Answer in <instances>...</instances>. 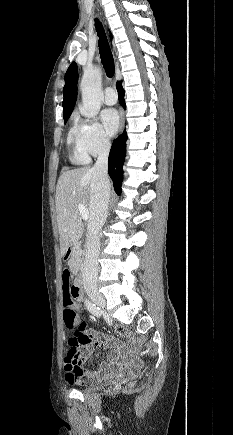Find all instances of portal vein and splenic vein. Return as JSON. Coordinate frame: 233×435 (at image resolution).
I'll use <instances>...</instances> for the list:
<instances>
[{"label":"portal vein and splenic vein","mask_w":233,"mask_h":435,"mask_svg":"<svg viewBox=\"0 0 233 435\" xmlns=\"http://www.w3.org/2000/svg\"><path fill=\"white\" fill-rule=\"evenodd\" d=\"M78 209H79V212L81 214L82 219L88 220L89 219V212H88L87 208L83 204H79Z\"/></svg>","instance_id":"obj_1"}]
</instances>
